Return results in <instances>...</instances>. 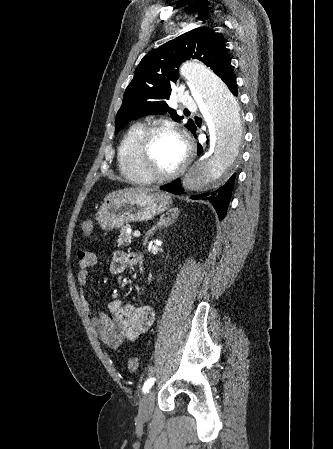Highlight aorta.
Returning <instances> with one entry per match:
<instances>
[{
  "label": "aorta",
  "instance_id": "762f6f07",
  "mask_svg": "<svg viewBox=\"0 0 333 449\" xmlns=\"http://www.w3.org/2000/svg\"><path fill=\"white\" fill-rule=\"evenodd\" d=\"M191 92L204 109L210 128L211 149L189 168L182 185L189 192L219 189L234 168L242 143V115L232 92L211 69L198 61L185 62L180 68Z\"/></svg>",
  "mask_w": 333,
  "mask_h": 449
}]
</instances>
